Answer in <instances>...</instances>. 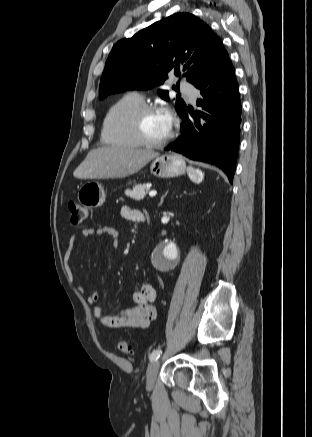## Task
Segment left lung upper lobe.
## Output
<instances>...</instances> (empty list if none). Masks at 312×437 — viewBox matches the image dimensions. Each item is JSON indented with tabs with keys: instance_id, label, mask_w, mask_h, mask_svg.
<instances>
[{
	"instance_id": "obj_1",
	"label": "left lung upper lobe",
	"mask_w": 312,
	"mask_h": 437,
	"mask_svg": "<svg viewBox=\"0 0 312 437\" xmlns=\"http://www.w3.org/2000/svg\"><path fill=\"white\" fill-rule=\"evenodd\" d=\"M225 52L209 26L189 13H177L155 22L112 48L100 81L99 98L125 90L163 84L168 73L186 77L194 86L210 73ZM168 100V91L159 90ZM180 115L186 104L176 101Z\"/></svg>"
}]
</instances>
